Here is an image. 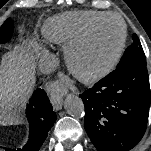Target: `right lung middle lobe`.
Here are the masks:
<instances>
[{"mask_svg":"<svg viewBox=\"0 0 151 151\" xmlns=\"http://www.w3.org/2000/svg\"><path fill=\"white\" fill-rule=\"evenodd\" d=\"M13 34V22L8 18L0 28V44L7 42Z\"/></svg>","mask_w":151,"mask_h":151,"instance_id":"right-lung-middle-lobe-1","label":"right lung middle lobe"}]
</instances>
